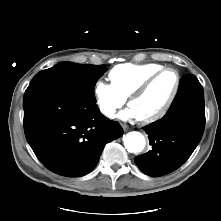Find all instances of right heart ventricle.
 Returning <instances> with one entry per match:
<instances>
[{
	"instance_id": "1",
	"label": "right heart ventricle",
	"mask_w": 221,
	"mask_h": 221,
	"mask_svg": "<svg viewBox=\"0 0 221 221\" xmlns=\"http://www.w3.org/2000/svg\"><path fill=\"white\" fill-rule=\"evenodd\" d=\"M163 68L160 64L125 63L109 72V79L116 91L127 99L151 74Z\"/></svg>"
}]
</instances>
